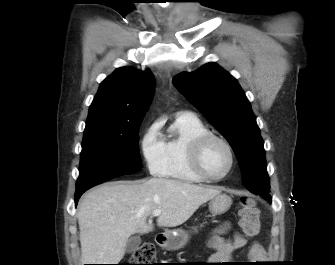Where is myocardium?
I'll return each mask as SVG.
<instances>
[{"instance_id":"myocardium-1","label":"myocardium","mask_w":335,"mask_h":265,"mask_svg":"<svg viewBox=\"0 0 335 265\" xmlns=\"http://www.w3.org/2000/svg\"><path fill=\"white\" fill-rule=\"evenodd\" d=\"M211 141H218L222 143L228 150V153L230 156V163H229L228 169L226 170L224 174L220 176H212L208 174L202 165L203 151L206 145ZM189 160H190V164L194 172L197 175H199L202 179L206 181H210V182H218V181L225 179L232 172L235 166L236 156H235V151H234L233 146L227 139H225L222 136L209 132V133H206L204 135L197 137L192 142L191 147H190V152H189Z\"/></svg>"}]
</instances>
